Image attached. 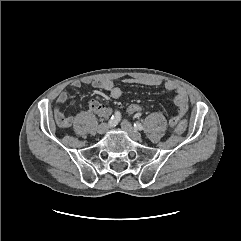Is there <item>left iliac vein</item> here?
Segmentation results:
<instances>
[{"mask_svg":"<svg viewBox=\"0 0 241 241\" xmlns=\"http://www.w3.org/2000/svg\"><path fill=\"white\" fill-rule=\"evenodd\" d=\"M121 127L122 129L128 133V135L135 141H141L142 140V135L140 132H138L135 128L132 127V125L126 121L123 120L121 122Z\"/></svg>","mask_w":241,"mask_h":241,"instance_id":"obj_1","label":"left iliac vein"}]
</instances>
